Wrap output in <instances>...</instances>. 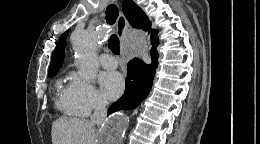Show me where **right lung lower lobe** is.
Returning <instances> with one entry per match:
<instances>
[{
	"label": "right lung lower lobe",
	"mask_w": 260,
	"mask_h": 144,
	"mask_svg": "<svg viewBox=\"0 0 260 144\" xmlns=\"http://www.w3.org/2000/svg\"><path fill=\"white\" fill-rule=\"evenodd\" d=\"M157 45L158 43L153 44L151 49V64L148 65L138 58H134L128 63L125 92L109 107L108 114L121 109H134L147 97L158 65Z\"/></svg>",
	"instance_id": "98d812e1"
}]
</instances>
